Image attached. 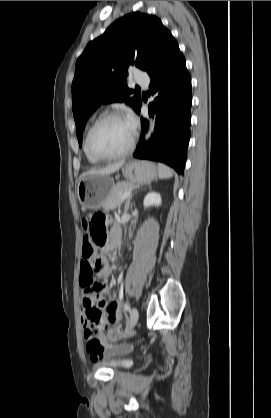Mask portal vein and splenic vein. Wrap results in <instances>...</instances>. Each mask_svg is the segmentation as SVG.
<instances>
[{
    "label": "portal vein and splenic vein",
    "mask_w": 271,
    "mask_h": 418,
    "mask_svg": "<svg viewBox=\"0 0 271 418\" xmlns=\"http://www.w3.org/2000/svg\"><path fill=\"white\" fill-rule=\"evenodd\" d=\"M131 191L126 192L123 196H122V201H124L125 199H127L130 195H131Z\"/></svg>",
    "instance_id": "1"
}]
</instances>
